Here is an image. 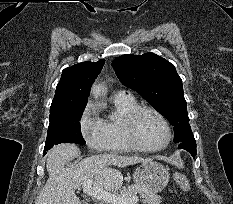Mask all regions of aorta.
<instances>
[{
	"mask_svg": "<svg viewBox=\"0 0 233 204\" xmlns=\"http://www.w3.org/2000/svg\"><path fill=\"white\" fill-rule=\"evenodd\" d=\"M91 93L95 99H98L106 93V88L101 84H95L91 89Z\"/></svg>",
	"mask_w": 233,
	"mask_h": 204,
	"instance_id": "aorta-1",
	"label": "aorta"
}]
</instances>
